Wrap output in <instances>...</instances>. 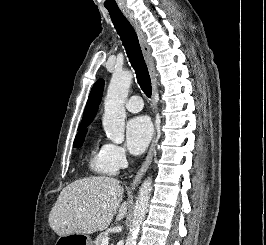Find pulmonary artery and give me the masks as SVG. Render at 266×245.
I'll return each instance as SVG.
<instances>
[{
	"mask_svg": "<svg viewBox=\"0 0 266 245\" xmlns=\"http://www.w3.org/2000/svg\"><path fill=\"white\" fill-rule=\"evenodd\" d=\"M142 96H130V99L125 102V108L133 113L139 112L143 108Z\"/></svg>",
	"mask_w": 266,
	"mask_h": 245,
	"instance_id": "e3ab8cb5",
	"label": "pulmonary artery"
}]
</instances>
